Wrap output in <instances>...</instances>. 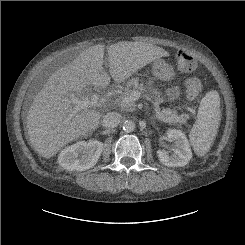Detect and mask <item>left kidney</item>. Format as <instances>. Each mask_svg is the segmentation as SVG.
<instances>
[{
  "label": "left kidney",
  "instance_id": "1",
  "mask_svg": "<svg viewBox=\"0 0 245 245\" xmlns=\"http://www.w3.org/2000/svg\"><path fill=\"white\" fill-rule=\"evenodd\" d=\"M166 136L168 141L174 142L175 149L171 155L165 150H158L157 154L160 162L168 167L187 165L192 158V152L185 134L180 130L168 129Z\"/></svg>",
  "mask_w": 245,
  "mask_h": 245
}]
</instances>
